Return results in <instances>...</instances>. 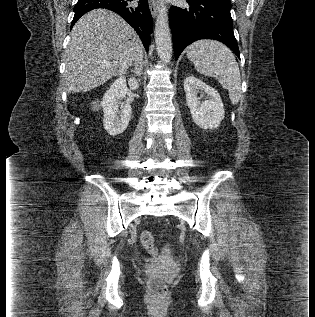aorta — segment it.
<instances>
[{"instance_id":"1","label":"aorta","mask_w":315,"mask_h":317,"mask_svg":"<svg viewBox=\"0 0 315 317\" xmlns=\"http://www.w3.org/2000/svg\"><path fill=\"white\" fill-rule=\"evenodd\" d=\"M155 43L161 62L167 64L172 58V40L166 5L162 4L155 24Z\"/></svg>"}]
</instances>
